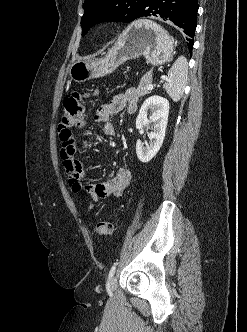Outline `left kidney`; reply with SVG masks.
I'll return each mask as SVG.
<instances>
[{
    "label": "left kidney",
    "instance_id": "1",
    "mask_svg": "<svg viewBox=\"0 0 247 332\" xmlns=\"http://www.w3.org/2000/svg\"><path fill=\"white\" fill-rule=\"evenodd\" d=\"M152 111L153 114L147 118V112ZM169 114V102L161 96H151L145 100L139 110L136 119V128L142 131L144 127L153 123V132L148 133L149 143H143L138 140L136 143V153L138 159L143 162H149L160 150L165 137Z\"/></svg>",
    "mask_w": 247,
    "mask_h": 332
}]
</instances>
